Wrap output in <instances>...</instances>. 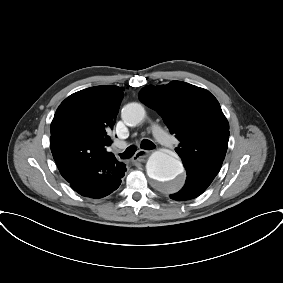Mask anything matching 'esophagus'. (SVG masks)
Listing matches in <instances>:
<instances>
[{
	"instance_id": "34e87169",
	"label": "esophagus",
	"mask_w": 283,
	"mask_h": 283,
	"mask_svg": "<svg viewBox=\"0 0 283 283\" xmlns=\"http://www.w3.org/2000/svg\"><path fill=\"white\" fill-rule=\"evenodd\" d=\"M149 154L147 150H139L132 158V162H144Z\"/></svg>"
}]
</instances>
